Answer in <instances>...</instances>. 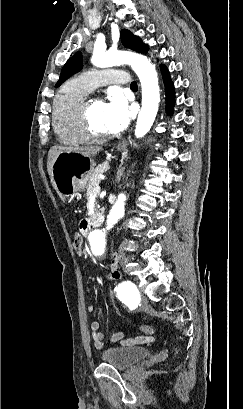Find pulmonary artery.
I'll list each match as a JSON object with an SVG mask.
<instances>
[{"instance_id":"pulmonary-artery-1","label":"pulmonary artery","mask_w":243,"mask_h":409,"mask_svg":"<svg viewBox=\"0 0 243 409\" xmlns=\"http://www.w3.org/2000/svg\"><path fill=\"white\" fill-rule=\"evenodd\" d=\"M79 77L91 91L109 84L125 85L129 81L124 71L114 69L86 71L80 74Z\"/></svg>"}]
</instances>
